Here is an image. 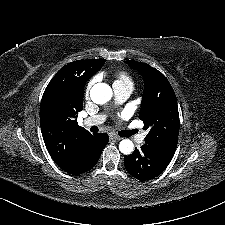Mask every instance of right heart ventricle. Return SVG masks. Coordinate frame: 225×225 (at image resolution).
Masks as SVG:
<instances>
[{
  "instance_id": "right-heart-ventricle-1",
  "label": "right heart ventricle",
  "mask_w": 225,
  "mask_h": 225,
  "mask_svg": "<svg viewBox=\"0 0 225 225\" xmlns=\"http://www.w3.org/2000/svg\"><path fill=\"white\" fill-rule=\"evenodd\" d=\"M114 77V85L119 86H131L134 88V80L126 71H116L113 75Z\"/></svg>"
}]
</instances>
